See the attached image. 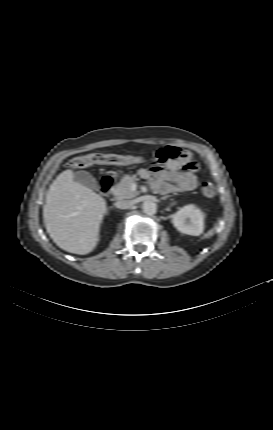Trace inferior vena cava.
I'll list each match as a JSON object with an SVG mask.
<instances>
[{
  "instance_id": "602c4592",
  "label": "inferior vena cava",
  "mask_w": 273,
  "mask_h": 430,
  "mask_svg": "<svg viewBox=\"0 0 273 430\" xmlns=\"http://www.w3.org/2000/svg\"><path fill=\"white\" fill-rule=\"evenodd\" d=\"M117 208L128 209L132 206V201L130 200H120L114 204Z\"/></svg>"
}]
</instances>
